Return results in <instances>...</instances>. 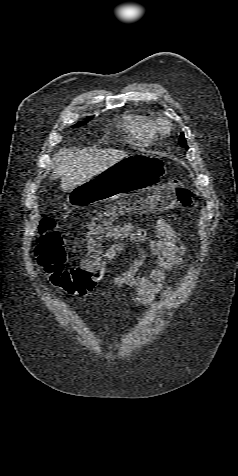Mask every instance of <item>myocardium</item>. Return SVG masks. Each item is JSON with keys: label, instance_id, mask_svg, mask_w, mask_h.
Instances as JSON below:
<instances>
[{"label": "myocardium", "instance_id": "myocardium-1", "mask_svg": "<svg viewBox=\"0 0 238 476\" xmlns=\"http://www.w3.org/2000/svg\"><path fill=\"white\" fill-rule=\"evenodd\" d=\"M153 126L155 132L161 136H167L172 131V123L165 118L158 119L156 122H154Z\"/></svg>", "mask_w": 238, "mask_h": 476}]
</instances>
